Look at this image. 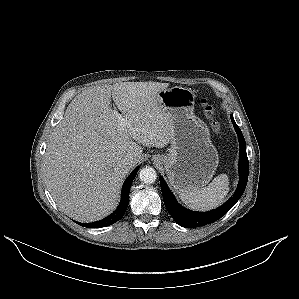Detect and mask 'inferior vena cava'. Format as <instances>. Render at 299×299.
<instances>
[{
  "mask_svg": "<svg viewBox=\"0 0 299 299\" xmlns=\"http://www.w3.org/2000/svg\"><path fill=\"white\" fill-rule=\"evenodd\" d=\"M133 162V156L131 154H128L125 156V158L123 159V164L124 165H130Z\"/></svg>",
  "mask_w": 299,
  "mask_h": 299,
  "instance_id": "obj_1",
  "label": "inferior vena cava"
}]
</instances>
